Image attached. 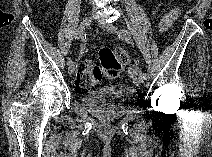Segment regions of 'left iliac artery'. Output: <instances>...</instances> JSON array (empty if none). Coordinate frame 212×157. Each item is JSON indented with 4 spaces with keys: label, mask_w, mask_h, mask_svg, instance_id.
I'll list each match as a JSON object with an SVG mask.
<instances>
[{
    "label": "left iliac artery",
    "mask_w": 212,
    "mask_h": 157,
    "mask_svg": "<svg viewBox=\"0 0 212 157\" xmlns=\"http://www.w3.org/2000/svg\"><path fill=\"white\" fill-rule=\"evenodd\" d=\"M118 36H119V38H121L123 40H126V41L131 39V35H130L129 31L126 30V29L120 30ZM144 79L145 80H149L150 79V75L148 73H144Z\"/></svg>",
    "instance_id": "44dca946"
}]
</instances>
